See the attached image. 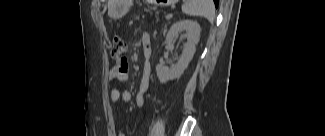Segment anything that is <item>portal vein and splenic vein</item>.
<instances>
[{"label":"portal vein and splenic vein","instance_id":"obj_1","mask_svg":"<svg viewBox=\"0 0 325 136\" xmlns=\"http://www.w3.org/2000/svg\"><path fill=\"white\" fill-rule=\"evenodd\" d=\"M172 17V14H167L166 15V19H169V18H171Z\"/></svg>","mask_w":325,"mask_h":136}]
</instances>
